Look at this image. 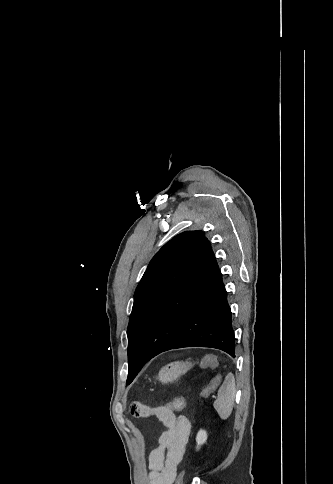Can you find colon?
Listing matches in <instances>:
<instances>
[{
	"mask_svg": "<svg viewBox=\"0 0 333 484\" xmlns=\"http://www.w3.org/2000/svg\"><path fill=\"white\" fill-rule=\"evenodd\" d=\"M201 366L202 367H211V368H216L217 363L215 359L212 356H207L201 361ZM221 377L220 375H215L208 384L204 386V388L201 390L200 396L201 398H206L208 397L220 384ZM185 406V399L182 396H178L174 398L172 401L168 402L164 407L167 409L173 411V412H178L181 411ZM184 478V472L180 473L177 480L176 484H182Z\"/></svg>",
	"mask_w": 333,
	"mask_h": 484,
	"instance_id": "5ec220e1",
	"label": "colon"
}]
</instances>
